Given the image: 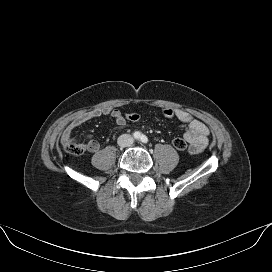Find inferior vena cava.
Returning a JSON list of instances; mask_svg holds the SVG:
<instances>
[{
  "instance_id": "602c4592",
  "label": "inferior vena cava",
  "mask_w": 272,
  "mask_h": 272,
  "mask_svg": "<svg viewBox=\"0 0 272 272\" xmlns=\"http://www.w3.org/2000/svg\"><path fill=\"white\" fill-rule=\"evenodd\" d=\"M134 142V139L129 134H122L118 137L117 143L120 147H130Z\"/></svg>"
}]
</instances>
